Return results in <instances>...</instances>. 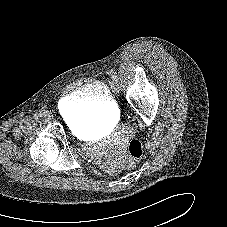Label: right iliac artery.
I'll list each match as a JSON object with an SVG mask.
<instances>
[{"mask_svg":"<svg viewBox=\"0 0 227 227\" xmlns=\"http://www.w3.org/2000/svg\"><path fill=\"white\" fill-rule=\"evenodd\" d=\"M39 117H40V114H37V113H36V114L34 115V118H35V119H38Z\"/></svg>","mask_w":227,"mask_h":227,"instance_id":"1","label":"right iliac artery"}]
</instances>
